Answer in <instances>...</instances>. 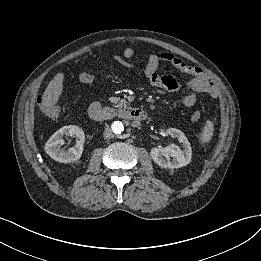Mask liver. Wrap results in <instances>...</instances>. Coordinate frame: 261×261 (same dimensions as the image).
I'll return each instance as SVG.
<instances>
[{"instance_id": "liver-1", "label": "liver", "mask_w": 261, "mask_h": 261, "mask_svg": "<svg viewBox=\"0 0 261 261\" xmlns=\"http://www.w3.org/2000/svg\"><path fill=\"white\" fill-rule=\"evenodd\" d=\"M63 81L64 74L57 73L54 76V78L49 82L42 96L41 108L43 110L54 106L58 102L59 97L63 91Z\"/></svg>"}]
</instances>
